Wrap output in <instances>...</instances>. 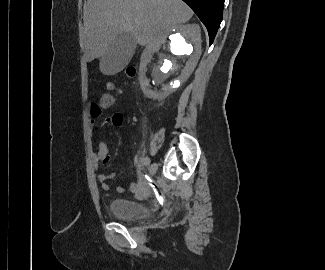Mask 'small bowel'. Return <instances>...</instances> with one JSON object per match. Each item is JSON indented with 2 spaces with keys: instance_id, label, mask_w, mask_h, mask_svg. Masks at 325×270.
<instances>
[{
  "instance_id": "small-bowel-1",
  "label": "small bowel",
  "mask_w": 325,
  "mask_h": 270,
  "mask_svg": "<svg viewBox=\"0 0 325 270\" xmlns=\"http://www.w3.org/2000/svg\"><path fill=\"white\" fill-rule=\"evenodd\" d=\"M102 96H110L107 94H103ZM114 103H99V102H92L90 104V115L91 121L90 126L94 129L97 126L96 119L102 115V111L105 108H109ZM123 122V114L121 112H114L110 116L104 118L102 125L107 127H119ZM94 160L96 166L99 164L106 165L110 161V155L108 151L107 144L101 140L98 143V149L94 154ZM115 177L114 172L102 173L98 175V180L101 184V187L104 191H108L110 189L108 181ZM124 187L119 185L116 187V191L118 193L124 192ZM130 192L139 199H146L150 195L149 188L145 185L141 178L137 181L132 182L130 184Z\"/></svg>"
}]
</instances>
